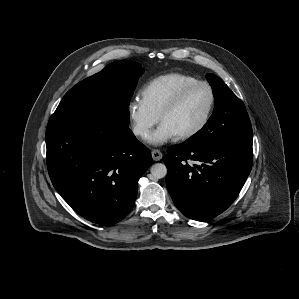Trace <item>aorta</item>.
<instances>
[{"instance_id": "obj_1", "label": "aorta", "mask_w": 299, "mask_h": 299, "mask_svg": "<svg viewBox=\"0 0 299 299\" xmlns=\"http://www.w3.org/2000/svg\"><path fill=\"white\" fill-rule=\"evenodd\" d=\"M151 174L154 178L156 179H161L166 176L167 174V168L164 164L162 163H156L151 166Z\"/></svg>"}]
</instances>
